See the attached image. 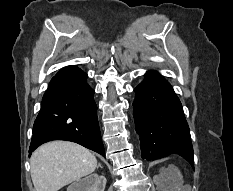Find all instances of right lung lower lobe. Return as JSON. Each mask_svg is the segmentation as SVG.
Segmentation results:
<instances>
[{
	"instance_id": "1",
	"label": "right lung lower lobe",
	"mask_w": 233,
	"mask_h": 191,
	"mask_svg": "<svg viewBox=\"0 0 233 191\" xmlns=\"http://www.w3.org/2000/svg\"><path fill=\"white\" fill-rule=\"evenodd\" d=\"M87 77L78 67L67 66L51 79L33 126L30 154L45 142L67 140L105 157L94 90Z\"/></svg>"
}]
</instances>
